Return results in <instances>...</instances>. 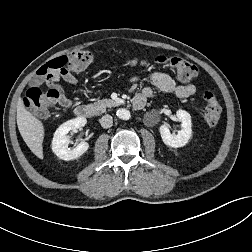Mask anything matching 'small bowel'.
Returning <instances> with one entry per match:
<instances>
[{"label": "small bowel", "mask_w": 252, "mask_h": 252, "mask_svg": "<svg viewBox=\"0 0 252 252\" xmlns=\"http://www.w3.org/2000/svg\"><path fill=\"white\" fill-rule=\"evenodd\" d=\"M60 77L71 85H76L78 83L77 78L68 70H64L60 74ZM149 79L151 83L162 92L167 94H173L178 98H187L193 95L196 91V88L193 84H178L173 78L162 72H152L149 75ZM153 94V88L150 86H145L142 89L141 93H139L135 97V99L143 100L145 102L146 99L151 98ZM70 106V101H67V103L63 105L64 108H68Z\"/></svg>", "instance_id": "obj_1"}]
</instances>
